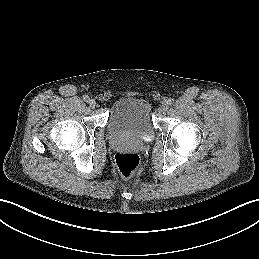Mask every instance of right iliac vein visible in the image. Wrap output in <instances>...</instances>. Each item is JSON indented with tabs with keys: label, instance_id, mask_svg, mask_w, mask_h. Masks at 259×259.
<instances>
[{
	"label": "right iliac vein",
	"instance_id": "right-iliac-vein-1",
	"mask_svg": "<svg viewBox=\"0 0 259 259\" xmlns=\"http://www.w3.org/2000/svg\"><path fill=\"white\" fill-rule=\"evenodd\" d=\"M90 107L94 108L96 106V102L94 99L89 100Z\"/></svg>",
	"mask_w": 259,
	"mask_h": 259
}]
</instances>
